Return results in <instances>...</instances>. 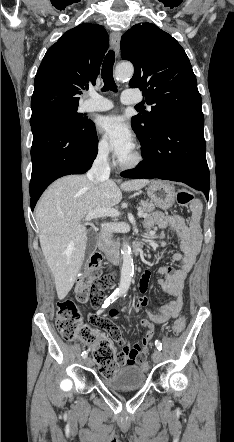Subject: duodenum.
Listing matches in <instances>:
<instances>
[{
    "label": "duodenum",
    "instance_id": "obj_1",
    "mask_svg": "<svg viewBox=\"0 0 234 442\" xmlns=\"http://www.w3.org/2000/svg\"><path fill=\"white\" fill-rule=\"evenodd\" d=\"M100 249L107 255L108 259L114 263V264H118L120 262V256L118 253L113 252L112 250L109 249L106 241L104 239H102L100 241ZM133 249V253L135 255H139L142 252L143 249V245L141 243H135L132 247Z\"/></svg>",
    "mask_w": 234,
    "mask_h": 442
}]
</instances>
